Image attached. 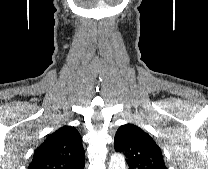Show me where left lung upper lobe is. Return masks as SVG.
Here are the masks:
<instances>
[{
  "label": "left lung upper lobe",
  "mask_w": 208,
  "mask_h": 169,
  "mask_svg": "<svg viewBox=\"0 0 208 169\" xmlns=\"http://www.w3.org/2000/svg\"><path fill=\"white\" fill-rule=\"evenodd\" d=\"M114 148L127 157L129 169H167L159 146L134 124L118 128Z\"/></svg>",
  "instance_id": "obj_1"
}]
</instances>
